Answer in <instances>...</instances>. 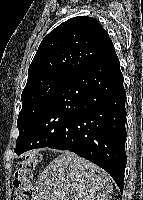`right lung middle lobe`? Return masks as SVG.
Listing matches in <instances>:
<instances>
[{"mask_svg":"<svg viewBox=\"0 0 143 200\" xmlns=\"http://www.w3.org/2000/svg\"><path fill=\"white\" fill-rule=\"evenodd\" d=\"M69 77L70 75L66 74H50L26 84L21 95L22 110L17 120L19 136L15 152L19 151L22 141L40 112Z\"/></svg>","mask_w":143,"mask_h":200,"instance_id":"1","label":"right lung middle lobe"}]
</instances>
